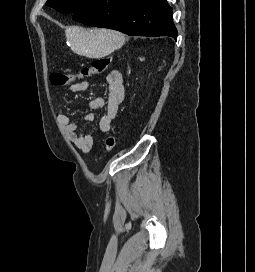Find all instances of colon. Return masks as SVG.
I'll list each match as a JSON object with an SVG mask.
<instances>
[{"label":"colon","instance_id":"colon-1","mask_svg":"<svg viewBox=\"0 0 255 272\" xmlns=\"http://www.w3.org/2000/svg\"><path fill=\"white\" fill-rule=\"evenodd\" d=\"M110 64V58L109 57H98L93 59L90 66L83 67L78 73L74 74H67L63 72H53L50 76V79L53 84L59 85V86H66L71 83H76L80 80L89 78L93 75L102 73L107 69V67ZM116 146V135L111 134L106 137L105 139V152L111 153Z\"/></svg>","mask_w":255,"mask_h":272}]
</instances>
